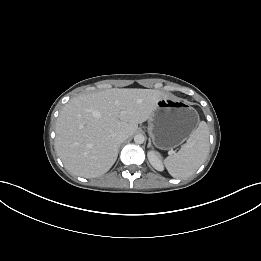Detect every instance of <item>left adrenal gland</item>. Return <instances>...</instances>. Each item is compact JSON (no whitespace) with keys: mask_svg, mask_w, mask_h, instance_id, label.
Listing matches in <instances>:
<instances>
[{"mask_svg":"<svg viewBox=\"0 0 261 261\" xmlns=\"http://www.w3.org/2000/svg\"><path fill=\"white\" fill-rule=\"evenodd\" d=\"M151 145V141H150V139H149V143H148V146H150Z\"/></svg>","mask_w":261,"mask_h":261,"instance_id":"a2214340","label":"left adrenal gland"}]
</instances>
